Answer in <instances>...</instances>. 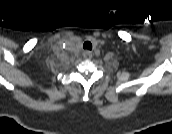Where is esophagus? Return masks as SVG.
<instances>
[{"label": "esophagus", "instance_id": "esophagus-1", "mask_svg": "<svg viewBox=\"0 0 172 134\" xmlns=\"http://www.w3.org/2000/svg\"><path fill=\"white\" fill-rule=\"evenodd\" d=\"M83 57H84L85 59H91V58H92V52L89 51V50L83 51Z\"/></svg>", "mask_w": 172, "mask_h": 134}]
</instances>
